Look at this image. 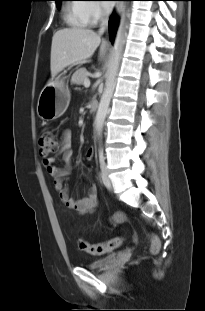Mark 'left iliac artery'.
I'll list each match as a JSON object with an SVG mask.
<instances>
[{
  "label": "left iliac artery",
  "instance_id": "obj_1",
  "mask_svg": "<svg viewBox=\"0 0 205 311\" xmlns=\"http://www.w3.org/2000/svg\"><path fill=\"white\" fill-rule=\"evenodd\" d=\"M99 161H100V164H104V154H103V148L100 144L99 146Z\"/></svg>",
  "mask_w": 205,
  "mask_h": 311
}]
</instances>
